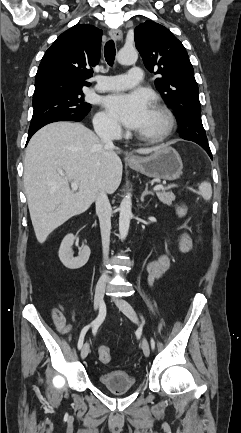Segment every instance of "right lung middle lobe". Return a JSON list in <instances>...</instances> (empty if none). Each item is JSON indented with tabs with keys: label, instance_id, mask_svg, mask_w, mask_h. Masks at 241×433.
Instances as JSON below:
<instances>
[{
	"label": "right lung middle lobe",
	"instance_id": "obj_1",
	"mask_svg": "<svg viewBox=\"0 0 241 433\" xmlns=\"http://www.w3.org/2000/svg\"><path fill=\"white\" fill-rule=\"evenodd\" d=\"M33 116L29 132L60 117H85L90 105L83 98V92H53L33 97Z\"/></svg>",
	"mask_w": 241,
	"mask_h": 433
}]
</instances>
